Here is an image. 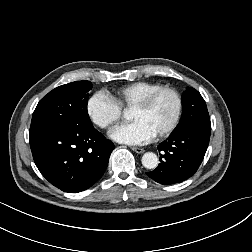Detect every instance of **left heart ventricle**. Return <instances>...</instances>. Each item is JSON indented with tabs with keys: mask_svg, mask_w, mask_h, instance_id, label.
Masks as SVG:
<instances>
[{
	"mask_svg": "<svg viewBox=\"0 0 252 252\" xmlns=\"http://www.w3.org/2000/svg\"><path fill=\"white\" fill-rule=\"evenodd\" d=\"M176 111L175 97L168 92L159 95L147 109H132V120L145 122L155 134L165 129L172 121Z\"/></svg>",
	"mask_w": 252,
	"mask_h": 252,
	"instance_id": "left-heart-ventricle-1",
	"label": "left heart ventricle"
}]
</instances>
